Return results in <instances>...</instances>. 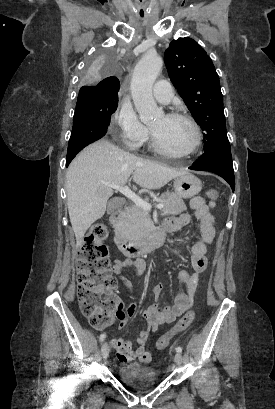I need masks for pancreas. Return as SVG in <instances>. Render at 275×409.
<instances>
[{"mask_svg":"<svg viewBox=\"0 0 275 409\" xmlns=\"http://www.w3.org/2000/svg\"><path fill=\"white\" fill-rule=\"evenodd\" d=\"M159 198L163 200L162 205H165L164 209H162V215H180V213L186 211L185 202L176 192H168L167 190V192H162ZM145 200L147 202L149 198H145ZM152 225L149 211H144L142 207L133 205V207H127L125 215L115 225V233L124 235L127 241H138L148 231H152Z\"/></svg>","mask_w":275,"mask_h":409,"instance_id":"cf45deb5","label":"pancreas"}]
</instances>
